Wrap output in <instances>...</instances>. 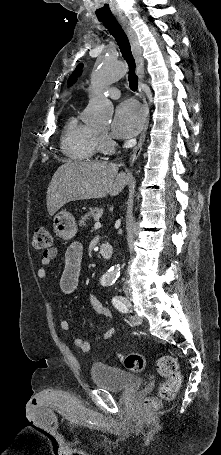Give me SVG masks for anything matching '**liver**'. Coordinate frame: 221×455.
Masks as SVG:
<instances>
[{
  "instance_id": "obj_1",
  "label": "liver",
  "mask_w": 221,
  "mask_h": 455,
  "mask_svg": "<svg viewBox=\"0 0 221 455\" xmlns=\"http://www.w3.org/2000/svg\"><path fill=\"white\" fill-rule=\"evenodd\" d=\"M129 181L118 165L67 161L54 173L47 189V210L53 216L66 203L118 195Z\"/></svg>"
}]
</instances>
